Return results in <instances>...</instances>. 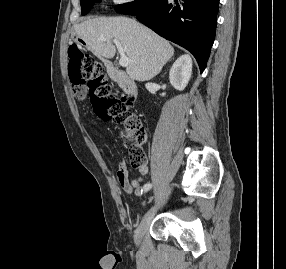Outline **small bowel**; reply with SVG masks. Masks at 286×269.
Here are the masks:
<instances>
[{
	"mask_svg": "<svg viewBox=\"0 0 286 269\" xmlns=\"http://www.w3.org/2000/svg\"><path fill=\"white\" fill-rule=\"evenodd\" d=\"M84 91L81 90L79 98H84ZM139 174L133 179H129V172L125 162L120 161L116 170V180L118 185L126 193H131L134 189H139L143 183L144 177L148 173L147 164L138 168Z\"/></svg>",
	"mask_w": 286,
	"mask_h": 269,
	"instance_id": "small-bowel-1",
	"label": "small bowel"
}]
</instances>
